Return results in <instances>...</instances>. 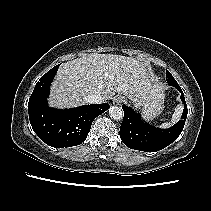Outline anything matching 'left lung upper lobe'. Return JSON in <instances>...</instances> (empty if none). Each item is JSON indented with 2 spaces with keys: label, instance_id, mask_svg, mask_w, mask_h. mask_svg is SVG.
I'll return each mask as SVG.
<instances>
[{
  "label": "left lung upper lobe",
  "instance_id": "1",
  "mask_svg": "<svg viewBox=\"0 0 211 211\" xmlns=\"http://www.w3.org/2000/svg\"><path fill=\"white\" fill-rule=\"evenodd\" d=\"M166 78L168 84L171 86H174L177 83L176 80L173 78V76L170 74V72L167 70H166Z\"/></svg>",
  "mask_w": 211,
  "mask_h": 211
}]
</instances>
